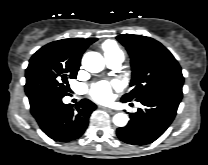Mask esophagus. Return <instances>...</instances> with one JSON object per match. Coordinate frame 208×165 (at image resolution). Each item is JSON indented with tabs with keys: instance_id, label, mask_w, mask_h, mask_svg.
Returning <instances> with one entry per match:
<instances>
[{
	"instance_id": "obj_1",
	"label": "esophagus",
	"mask_w": 208,
	"mask_h": 165,
	"mask_svg": "<svg viewBox=\"0 0 208 165\" xmlns=\"http://www.w3.org/2000/svg\"><path fill=\"white\" fill-rule=\"evenodd\" d=\"M105 111H107V112H109V113H111V114H114V113H116V111H114L113 109H111V108H108V107H102Z\"/></svg>"
}]
</instances>
